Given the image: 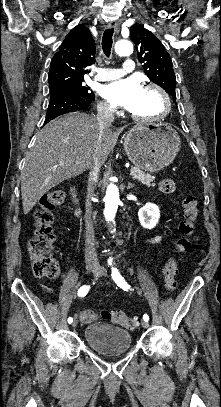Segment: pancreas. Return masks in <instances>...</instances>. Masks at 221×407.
I'll return each instance as SVG.
<instances>
[{
  "label": "pancreas",
  "instance_id": "pancreas-1",
  "mask_svg": "<svg viewBox=\"0 0 221 407\" xmlns=\"http://www.w3.org/2000/svg\"><path fill=\"white\" fill-rule=\"evenodd\" d=\"M131 170L134 171V175H133L134 179L140 181L142 184H144L148 187L155 186V184L153 183V181H154L153 176H151L150 174H146L138 167H132Z\"/></svg>",
  "mask_w": 221,
  "mask_h": 407
}]
</instances>
